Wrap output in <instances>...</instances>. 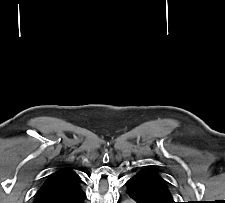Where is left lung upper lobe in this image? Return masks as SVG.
Returning <instances> with one entry per match:
<instances>
[{
    "label": "left lung upper lobe",
    "mask_w": 225,
    "mask_h": 203,
    "mask_svg": "<svg viewBox=\"0 0 225 203\" xmlns=\"http://www.w3.org/2000/svg\"><path fill=\"white\" fill-rule=\"evenodd\" d=\"M132 179L142 191L158 203H175L169 189V183L156 171L143 169L138 171Z\"/></svg>",
    "instance_id": "obj_1"
}]
</instances>
